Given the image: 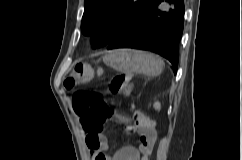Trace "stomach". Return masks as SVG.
Returning <instances> with one entry per match:
<instances>
[{
	"instance_id": "0dacf381",
	"label": "stomach",
	"mask_w": 242,
	"mask_h": 160,
	"mask_svg": "<svg viewBox=\"0 0 242 160\" xmlns=\"http://www.w3.org/2000/svg\"><path fill=\"white\" fill-rule=\"evenodd\" d=\"M103 61L106 65L122 73H143L154 76L161 72V64L158 57L135 49L109 51L104 56Z\"/></svg>"
}]
</instances>
